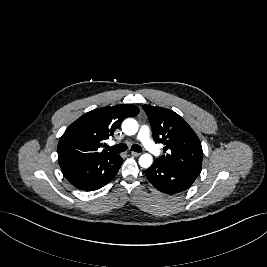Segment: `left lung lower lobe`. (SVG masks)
Wrapping results in <instances>:
<instances>
[{
	"mask_svg": "<svg viewBox=\"0 0 267 267\" xmlns=\"http://www.w3.org/2000/svg\"><path fill=\"white\" fill-rule=\"evenodd\" d=\"M145 175L156 189L166 194L185 191L197 178L190 173L165 167L157 161L145 171Z\"/></svg>",
	"mask_w": 267,
	"mask_h": 267,
	"instance_id": "0a47b994",
	"label": "left lung lower lobe"
}]
</instances>
